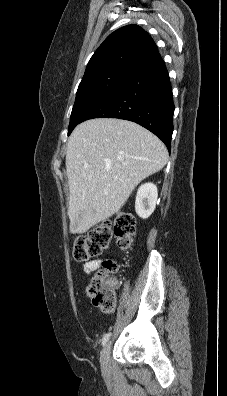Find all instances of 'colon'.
I'll return each instance as SVG.
<instances>
[{
    "instance_id": "obj_1",
    "label": "colon",
    "mask_w": 227,
    "mask_h": 396,
    "mask_svg": "<svg viewBox=\"0 0 227 396\" xmlns=\"http://www.w3.org/2000/svg\"><path fill=\"white\" fill-rule=\"evenodd\" d=\"M135 236V220L131 214L119 213L114 223L104 222L87 236L78 237L73 244V256L79 262H86L102 254L115 237L120 249H128ZM117 271V264L112 260L102 263V269L94 274L87 285V294L92 303L105 313L115 309V283L111 275Z\"/></svg>"
}]
</instances>
